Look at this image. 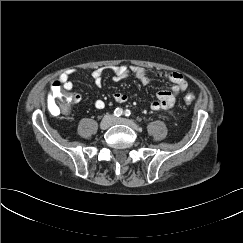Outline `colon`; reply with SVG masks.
Here are the masks:
<instances>
[{
  "label": "colon",
  "instance_id": "colon-1",
  "mask_svg": "<svg viewBox=\"0 0 243 243\" xmlns=\"http://www.w3.org/2000/svg\"><path fill=\"white\" fill-rule=\"evenodd\" d=\"M184 101L188 104L194 101L193 94H187ZM73 104V95L64 91V88L59 82L53 83L49 96L48 107L53 115L69 112Z\"/></svg>",
  "mask_w": 243,
  "mask_h": 243
}]
</instances>
